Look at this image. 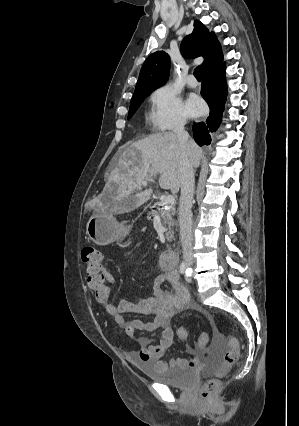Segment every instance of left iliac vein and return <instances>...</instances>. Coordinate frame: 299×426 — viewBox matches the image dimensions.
<instances>
[{"instance_id":"4c4485c4","label":"left iliac vein","mask_w":299,"mask_h":426,"mask_svg":"<svg viewBox=\"0 0 299 426\" xmlns=\"http://www.w3.org/2000/svg\"><path fill=\"white\" fill-rule=\"evenodd\" d=\"M185 279H186V281H187V282H190V281H191L190 276H187Z\"/></svg>"}]
</instances>
